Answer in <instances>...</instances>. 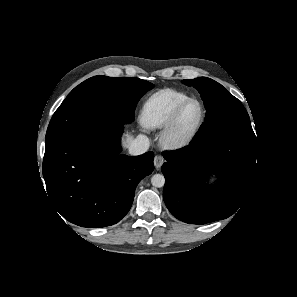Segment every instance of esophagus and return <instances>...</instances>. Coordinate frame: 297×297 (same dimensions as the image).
Listing matches in <instances>:
<instances>
[{
  "mask_svg": "<svg viewBox=\"0 0 297 297\" xmlns=\"http://www.w3.org/2000/svg\"><path fill=\"white\" fill-rule=\"evenodd\" d=\"M164 163V159L161 155H156L154 158V165L156 168H160Z\"/></svg>",
  "mask_w": 297,
  "mask_h": 297,
  "instance_id": "esophagus-1",
  "label": "esophagus"
}]
</instances>
